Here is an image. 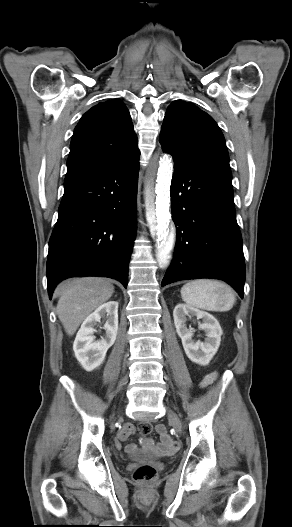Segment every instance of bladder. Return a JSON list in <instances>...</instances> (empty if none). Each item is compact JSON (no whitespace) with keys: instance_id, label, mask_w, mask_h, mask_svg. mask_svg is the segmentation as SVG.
Instances as JSON below:
<instances>
[{"instance_id":"obj_1","label":"bladder","mask_w":292,"mask_h":527,"mask_svg":"<svg viewBox=\"0 0 292 527\" xmlns=\"http://www.w3.org/2000/svg\"><path fill=\"white\" fill-rule=\"evenodd\" d=\"M133 457L138 458V457H140V456H139V455H134ZM143 457H144V458H156L155 455H146V456H143Z\"/></svg>"}]
</instances>
